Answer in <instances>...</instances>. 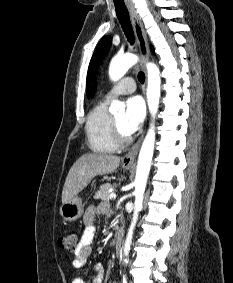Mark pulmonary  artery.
<instances>
[{"mask_svg": "<svg viewBox=\"0 0 233 283\" xmlns=\"http://www.w3.org/2000/svg\"><path fill=\"white\" fill-rule=\"evenodd\" d=\"M136 89L135 80L131 77L123 78L118 84H116L108 93L105 95V99L109 100L114 96L129 94L134 92Z\"/></svg>", "mask_w": 233, "mask_h": 283, "instance_id": "obj_1", "label": "pulmonary artery"}]
</instances>
